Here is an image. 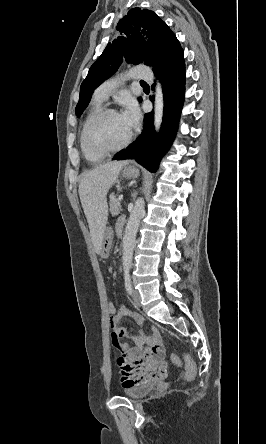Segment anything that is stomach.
Segmentation results:
<instances>
[{"label":"stomach","mask_w":266,"mask_h":444,"mask_svg":"<svg viewBox=\"0 0 266 444\" xmlns=\"http://www.w3.org/2000/svg\"><path fill=\"white\" fill-rule=\"evenodd\" d=\"M139 175V170L133 165H127L122 170V176L126 179H134ZM113 241V232L110 228H106L101 247V255L107 256Z\"/></svg>","instance_id":"0dacf381"}]
</instances>
